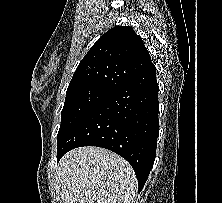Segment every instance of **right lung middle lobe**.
Segmentation results:
<instances>
[{
    "label": "right lung middle lobe",
    "mask_w": 222,
    "mask_h": 203,
    "mask_svg": "<svg viewBox=\"0 0 222 203\" xmlns=\"http://www.w3.org/2000/svg\"><path fill=\"white\" fill-rule=\"evenodd\" d=\"M113 91L97 87L67 90L57 141L81 118L105 101Z\"/></svg>",
    "instance_id": "right-lung-middle-lobe-1"
}]
</instances>
